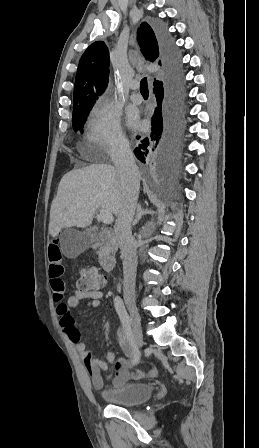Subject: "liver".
<instances>
[{
  "label": "liver",
  "mask_w": 259,
  "mask_h": 448,
  "mask_svg": "<svg viewBox=\"0 0 259 448\" xmlns=\"http://www.w3.org/2000/svg\"><path fill=\"white\" fill-rule=\"evenodd\" d=\"M122 192L118 174L108 164H93L63 176L50 212L49 234L59 236L62 228L91 226L99 208L118 216Z\"/></svg>",
  "instance_id": "1"
}]
</instances>
